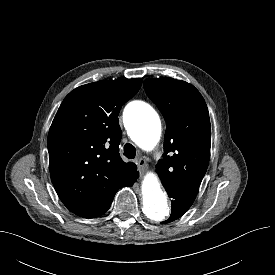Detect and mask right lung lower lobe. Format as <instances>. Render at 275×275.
<instances>
[{
    "label": "right lung lower lobe",
    "instance_id": "98d812e1",
    "mask_svg": "<svg viewBox=\"0 0 275 275\" xmlns=\"http://www.w3.org/2000/svg\"><path fill=\"white\" fill-rule=\"evenodd\" d=\"M137 177V172L135 171L132 176L129 178L128 182H127V186H132L135 179Z\"/></svg>",
    "mask_w": 275,
    "mask_h": 275
}]
</instances>
